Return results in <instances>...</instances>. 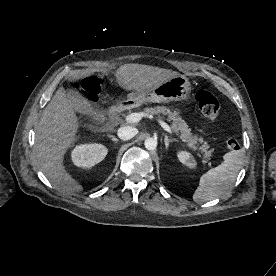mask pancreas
Listing matches in <instances>:
<instances>
[{
	"label": "pancreas",
	"mask_w": 276,
	"mask_h": 276,
	"mask_svg": "<svg viewBox=\"0 0 276 276\" xmlns=\"http://www.w3.org/2000/svg\"><path fill=\"white\" fill-rule=\"evenodd\" d=\"M146 115H159L164 114L168 115V120L171 121L172 130L178 135L183 142H186L188 147L193 149L194 151H200L202 154L203 162H207L211 155L212 150H209V145L206 141H204L203 137H199L198 135H193L191 133V129L188 128L186 122L179 116V112L177 110L171 111L165 106H157L154 108H146ZM198 153V156H200Z\"/></svg>",
	"instance_id": "obj_1"
}]
</instances>
